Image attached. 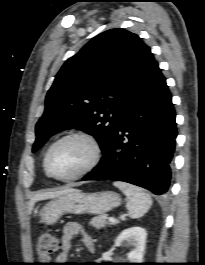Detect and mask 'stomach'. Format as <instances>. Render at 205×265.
Masks as SVG:
<instances>
[{
  "instance_id": "0dacf381",
  "label": "stomach",
  "mask_w": 205,
  "mask_h": 265,
  "mask_svg": "<svg viewBox=\"0 0 205 265\" xmlns=\"http://www.w3.org/2000/svg\"><path fill=\"white\" fill-rule=\"evenodd\" d=\"M121 199L111 191L84 193L81 191L69 192L46 203L39 216L46 225L55 224L64 214H104L119 206Z\"/></svg>"
}]
</instances>
